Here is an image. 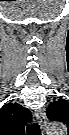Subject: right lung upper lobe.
I'll return each instance as SVG.
<instances>
[{
	"label": "right lung upper lobe",
	"instance_id": "cb5924a9",
	"mask_svg": "<svg viewBox=\"0 0 69 135\" xmlns=\"http://www.w3.org/2000/svg\"><path fill=\"white\" fill-rule=\"evenodd\" d=\"M31 119L32 114L27 108L8 103L0 109L1 132L3 135H23L25 124Z\"/></svg>",
	"mask_w": 69,
	"mask_h": 135
}]
</instances>
